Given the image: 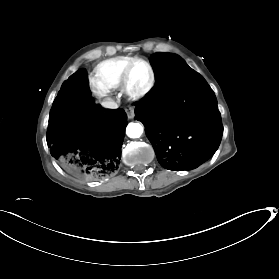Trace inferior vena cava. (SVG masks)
<instances>
[{
	"instance_id": "inferior-vena-cava-1",
	"label": "inferior vena cava",
	"mask_w": 279,
	"mask_h": 279,
	"mask_svg": "<svg viewBox=\"0 0 279 279\" xmlns=\"http://www.w3.org/2000/svg\"><path fill=\"white\" fill-rule=\"evenodd\" d=\"M108 100H110V99H108ZM103 106L107 107V108H112V109L117 108V104L112 101L103 102Z\"/></svg>"
}]
</instances>
